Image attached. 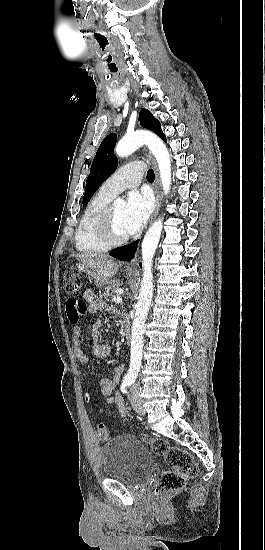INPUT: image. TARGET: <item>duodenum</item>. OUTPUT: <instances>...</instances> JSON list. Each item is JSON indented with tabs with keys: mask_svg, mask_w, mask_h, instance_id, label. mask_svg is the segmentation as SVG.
I'll use <instances>...</instances> for the list:
<instances>
[{
	"mask_svg": "<svg viewBox=\"0 0 265 550\" xmlns=\"http://www.w3.org/2000/svg\"><path fill=\"white\" fill-rule=\"evenodd\" d=\"M124 336L127 342H129L131 338V330L128 323H125V326H124Z\"/></svg>",
	"mask_w": 265,
	"mask_h": 550,
	"instance_id": "duodenum-1",
	"label": "duodenum"
}]
</instances>
